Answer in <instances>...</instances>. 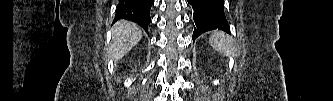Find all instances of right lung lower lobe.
<instances>
[{
  "label": "right lung lower lobe",
  "instance_id": "98d812e1",
  "mask_svg": "<svg viewBox=\"0 0 333 101\" xmlns=\"http://www.w3.org/2000/svg\"><path fill=\"white\" fill-rule=\"evenodd\" d=\"M154 0H119L116 10V19H126L133 21L147 31L151 22L150 8Z\"/></svg>",
  "mask_w": 333,
  "mask_h": 101
}]
</instances>
